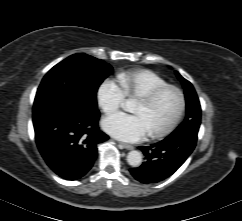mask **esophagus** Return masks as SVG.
<instances>
[{
	"instance_id": "1",
	"label": "esophagus",
	"mask_w": 242,
	"mask_h": 221,
	"mask_svg": "<svg viewBox=\"0 0 242 221\" xmlns=\"http://www.w3.org/2000/svg\"><path fill=\"white\" fill-rule=\"evenodd\" d=\"M119 146L122 147V148H124V149H127V150L134 149V146L133 145L126 144V143H122V142L119 143Z\"/></svg>"
}]
</instances>
